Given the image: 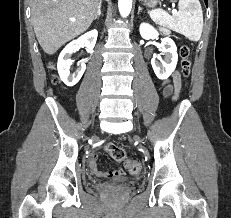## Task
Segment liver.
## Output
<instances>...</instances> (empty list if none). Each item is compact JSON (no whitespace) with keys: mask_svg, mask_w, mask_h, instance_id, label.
Here are the masks:
<instances>
[{"mask_svg":"<svg viewBox=\"0 0 231 218\" xmlns=\"http://www.w3.org/2000/svg\"><path fill=\"white\" fill-rule=\"evenodd\" d=\"M99 3L100 0H30L32 24L44 52L52 55L85 32L97 15Z\"/></svg>","mask_w":231,"mask_h":218,"instance_id":"obj_1","label":"liver"}]
</instances>
